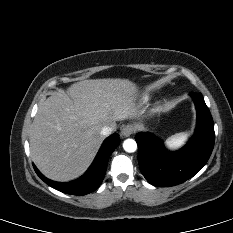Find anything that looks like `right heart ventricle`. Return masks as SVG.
<instances>
[{"instance_id": "e07e8e85", "label": "right heart ventricle", "mask_w": 233, "mask_h": 233, "mask_svg": "<svg viewBox=\"0 0 233 233\" xmlns=\"http://www.w3.org/2000/svg\"><path fill=\"white\" fill-rule=\"evenodd\" d=\"M147 100H148V97H147V96H145V97L142 98V102H143V103L147 102Z\"/></svg>"}]
</instances>
